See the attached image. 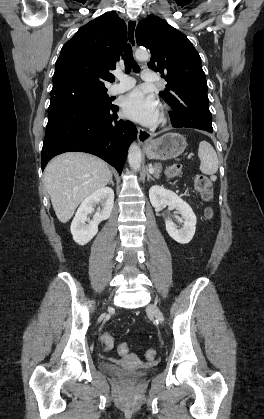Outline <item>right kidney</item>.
Listing matches in <instances>:
<instances>
[{"instance_id":"obj_1","label":"right kidney","mask_w":264,"mask_h":419,"mask_svg":"<svg viewBox=\"0 0 264 419\" xmlns=\"http://www.w3.org/2000/svg\"><path fill=\"white\" fill-rule=\"evenodd\" d=\"M99 203L102 204L103 209L96 212L93 219L90 220L88 215L94 211V207ZM113 206L114 191L109 187L101 188L86 197L71 223V233L74 241L79 245L88 243L97 234L99 223L110 217Z\"/></svg>"}]
</instances>
